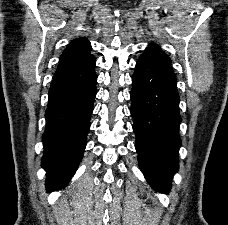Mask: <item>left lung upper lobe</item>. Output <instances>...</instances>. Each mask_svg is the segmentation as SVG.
Instances as JSON below:
<instances>
[{"label": "left lung upper lobe", "mask_w": 228, "mask_h": 225, "mask_svg": "<svg viewBox=\"0 0 228 225\" xmlns=\"http://www.w3.org/2000/svg\"><path fill=\"white\" fill-rule=\"evenodd\" d=\"M142 55L149 56L157 61L171 63L170 58L155 44H150Z\"/></svg>", "instance_id": "left-lung-upper-lobe-1"}]
</instances>
